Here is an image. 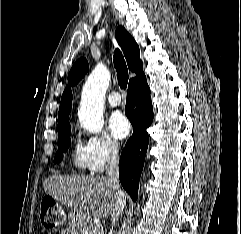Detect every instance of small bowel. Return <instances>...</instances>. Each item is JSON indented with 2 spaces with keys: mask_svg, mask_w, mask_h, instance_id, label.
<instances>
[{
  "mask_svg": "<svg viewBox=\"0 0 241 234\" xmlns=\"http://www.w3.org/2000/svg\"><path fill=\"white\" fill-rule=\"evenodd\" d=\"M61 234H66V232H61Z\"/></svg>",
  "mask_w": 241,
  "mask_h": 234,
  "instance_id": "1",
  "label": "small bowel"
}]
</instances>
